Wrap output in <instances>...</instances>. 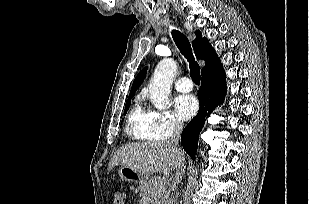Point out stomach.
Returning a JSON list of instances; mask_svg holds the SVG:
<instances>
[{
	"label": "stomach",
	"mask_w": 309,
	"mask_h": 204,
	"mask_svg": "<svg viewBox=\"0 0 309 204\" xmlns=\"http://www.w3.org/2000/svg\"><path fill=\"white\" fill-rule=\"evenodd\" d=\"M117 172L120 178L127 182L143 184L150 178L149 174L142 173L124 165H120Z\"/></svg>",
	"instance_id": "obj_1"
}]
</instances>
